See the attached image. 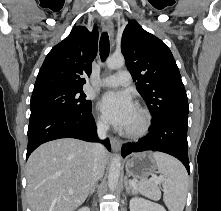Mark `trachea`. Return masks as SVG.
I'll return each mask as SVG.
<instances>
[{
    "label": "trachea",
    "instance_id": "obj_1",
    "mask_svg": "<svg viewBox=\"0 0 221 211\" xmlns=\"http://www.w3.org/2000/svg\"><path fill=\"white\" fill-rule=\"evenodd\" d=\"M110 44L109 36L106 32L102 33L100 38V57L102 62H104L109 54Z\"/></svg>",
    "mask_w": 221,
    "mask_h": 211
}]
</instances>
